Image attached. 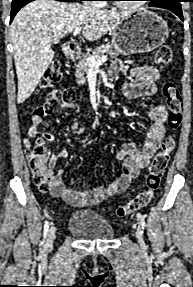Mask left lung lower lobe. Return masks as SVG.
<instances>
[{"label": "left lung lower lobe", "mask_w": 193, "mask_h": 287, "mask_svg": "<svg viewBox=\"0 0 193 287\" xmlns=\"http://www.w3.org/2000/svg\"><path fill=\"white\" fill-rule=\"evenodd\" d=\"M181 1L182 0H168V1H164L159 4L152 5V6L168 9L174 12L183 21V14H182V8H181V3H180Z\"/></svg>", "instance_id": "left-lung-lower-lobe-1"}]
</instances>
